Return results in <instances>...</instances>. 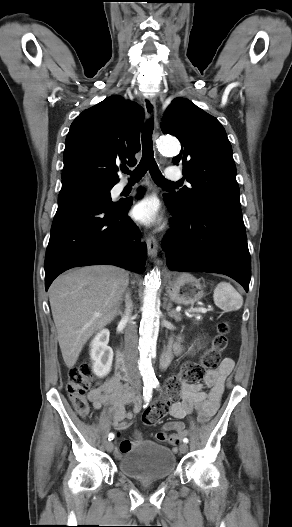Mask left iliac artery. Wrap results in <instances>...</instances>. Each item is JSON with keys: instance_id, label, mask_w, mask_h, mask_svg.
Returning <instances> with one entry per match:
<instances>
[{"instance_id": "1", "label": "left iliac artery", "mask_w": 292, "mask_h": 527, "mask_svg": "<svg viewBox=\"0 0 292 527\" xmlns=\"http://www.w3.org/2000/svg\"><path fill=\"white\" fill-rule=\"evenodd\" d=\"M153 386H154V388H158V387H159V383H158V382H154V383H153ZM183 442H184V443H188V438H184V439H183Z\"/></svg>"}]
</instances>
